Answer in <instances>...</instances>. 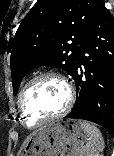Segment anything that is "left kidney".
Segmentation results:
<instances>
[{"label": "left kidney", "mask_w": 114, "mask_h": 156, "mask_svg": "<svg viewBox=\"0 0 114 156\" xmlns=\"http://www.w3.org/2000/svg\"><path fill=\"white\" fill-rule=\"evenodd\" d=\"M88 156H100L99 154H90ZM102 156V155H101Z\"/></svg>", "instance_id": "left-kidney-1"}]
</instances>
